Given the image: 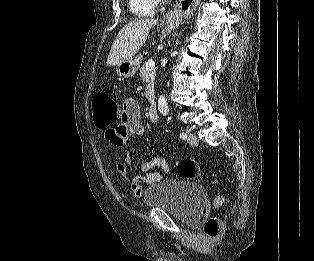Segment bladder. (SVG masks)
<instances>
[{
    "instance_id": "1",
    "label": "bladder",
    "mask_w": 314,
    "mask_h": 261,
    "mask_svg": "<svg viewBox=\"0 0 314 261\" xmlns=\"http://www.w3.org/2000/svg\"><path fill=\"white\" fill-rule=\"evenodd\" d=\"M206 198V191L199 183L166 180L148 190L145 205L163 209L186 224H195L203 216Z\"/></svg>"
}]
</instances>
